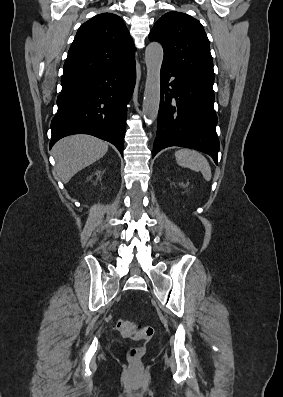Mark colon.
I'll return each mask as SVG.
<instances>
[{
    "label": "colon",
    "instance_id": "1",
    "mask_svg": "<svg viewBox=\"0 0 283 397\" xmlns=\"http://www.w3.org/2000/svg\"><path fill=\"white\" fill-rule=\"evenodd\" d=\"M116 329L118 332L127 338L138 339L142 341H149L153 336V329L149 326H140L138 323L126 319H119L116 322ZM146 347H133L128 351L129 359L136 363L145 354Z\"/></svg>",
    "mask_w": 283,
    "mask_h": 397
}]
</instances>
